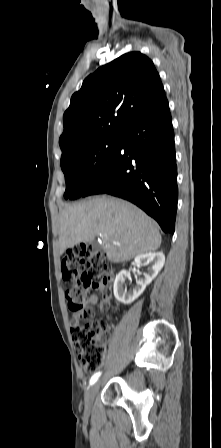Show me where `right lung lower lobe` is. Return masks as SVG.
I'll return each instance as SVG.
<instances>
[{
    "mask_svg": "<svg viewBox=\"0 0 221 448\" xmlns=\"http://www.w3.org/2000/svg\"><path fill=\"white\" fill-rule=\"evenodd\" d=\"M108 193L124 198L174 233L178 200L174 132L167 99L132 119L83 197Z\"/></svg>",
    "mask_w": 221,
    "mask_h": 448,
    "instance_id": "right-lung-lower-lobe-1",
    "label": "right lung lower lobe"
}]
</instances>
